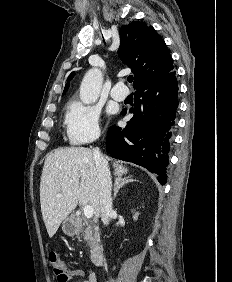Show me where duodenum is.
<instances>
[{
  "label": "duodenum",
  "instance_id": "410a0bca",
  "mask_svg": "<svg viewBox=\"0 0 232 282\" xmlns=\"http://www.w3.org/2000/svg\"><path fill=\"white\" fill-rule=\"evenodd\" d=\"M91 261L96 266H101L104 262V250L100 244H96L91 249Z\"/></svg>",
  "mask_w": 232,
  "mask_h": 282
}]
</instances>
